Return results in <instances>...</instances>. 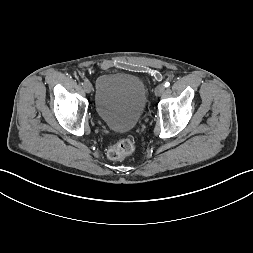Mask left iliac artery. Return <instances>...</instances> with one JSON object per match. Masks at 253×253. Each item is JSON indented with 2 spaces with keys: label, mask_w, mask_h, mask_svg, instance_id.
Masks as SVG:
<instances>
[{
  "label": "left iliac artery",
  "mask_w": 253,
  "mask_h": 253,
  "mask_svg": "<svg viewBox=\"0 0 253 253\" xmlns=\"http://www.w3.org/2000/svg\"><path fill=\"white\" fill-rule=\"evenodd\" d=\"M170 86V83L169 82H166L165 83V87H169Z\"/></svg>",
  "instance_id": "obj_1"
}]
</instances>
